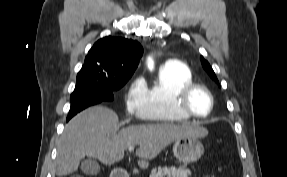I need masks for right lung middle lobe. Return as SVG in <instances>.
<instances>
[{"instance_id":"dd1d6c3e","label":"right lung middle lobe","mask_w":287,"mask_h":177,"mask_svg":"<svg viewBox=\"0 0 287 177\" xmlns=\"http://www.w3.org/2000/svg\"><path fill=\"white\" fill-rule=\"evenodd\" d=\"M129 79L105 85L101 83L93 74L80 71L77 74V83L70 101H80L84 99H95L99 101H111L114 99L113 91L120 89Z\"/></svg>"}]
</instances>
